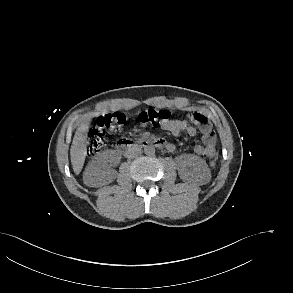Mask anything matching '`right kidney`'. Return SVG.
<instances>
[{"label":"right kidney","mask_w":293,"mask_h":293,"mask_svg":"<svg viewBox=\"0 0 293 293\" xmlns=\"http://www.w3.org/2000/svg\"><path fill=\"white\" fill-rule=\"evenodd\" d=\"M115 177L116 171L108 167L106 155L101 154L90 161L85 169L83 181L87 186L100 187L111 183Z\"/></svg>","instance_id":"obj_1"}]
</instances>
